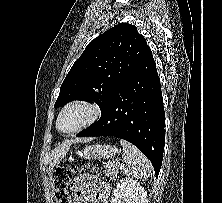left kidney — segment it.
I'll return each mask as SVG.
<instances>
[{
	"label": "left kidney",
	"mask_w": 222,
	"mask_h": 203,
	"mask_svg": "<svg viewBox=\"0 0 222 203\" xmlns=\"http://www.w3.org/2000/svg\"><path fill=\"white\" fill-rule=\"evenodd\" d=\"M147 193L139 182L123 178L118 182L111 197V203H145Z\"/></svg>",
	"instance_id": "left-kidney-1"
}]
</instances>
